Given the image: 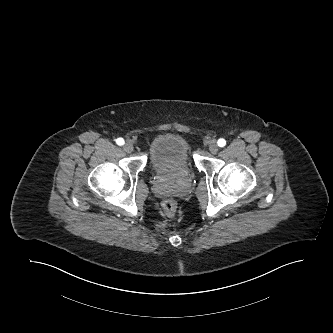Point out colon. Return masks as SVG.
I'll list each match as a JSON object with an SVG mask.
<instances>
[{
  "mask_svg": "<svg viewBox=\"0 0 333 333\" xmlns=\"http://www.w3.org/2000/svg\"><path fill=\"white\" fill-rule=\"evenodd\" d=\"M163 209L166 214L171 215L176 211V203L174 200H166L163 203Z\"/></svg>",
  "mask_w": 333,
  "mask_h": 333,
  "instance_id": "5ec220e1",
  "label": "colon"
}]
</instances>
